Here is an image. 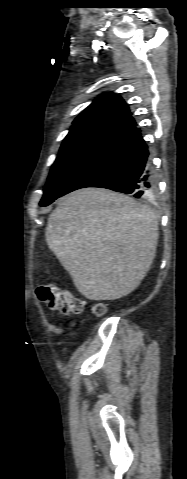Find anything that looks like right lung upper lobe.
Listing matches in <instances>:
<instances>
[{"mask_svg": "<svg viewBox=\"0 0 187 479\" xmlns=\"http://www.w3.org/2000/svg\"><path fill=\"white\" fill-rule=\"evenodd\" d=\"M91 126H105L125 133L136 127V122L124 100L115 93L96 98L74 121L70 130Z\"/></svg>", "mask_w": 187, "mask_h": 479, "instance_id": "1", "label": "right lung upper lobe"}]
</instances>
